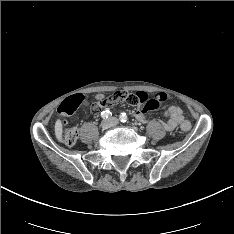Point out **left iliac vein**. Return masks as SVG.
<instances>
[{"instance_id": "1", "label": "left iliac vein", "mask_w": 234, "mask_h": 234, "mask_svg": "<svg viewBox=\"0 0 234 234\" xmlns=\"http://www.w3.org/2000/svg\"><path fill=\"white\" fill-rule=\"evenodd\" d=\"M110 121H111L112 125L118 124V120L116 118H112Z\"/></svg>"}]
</instances>
